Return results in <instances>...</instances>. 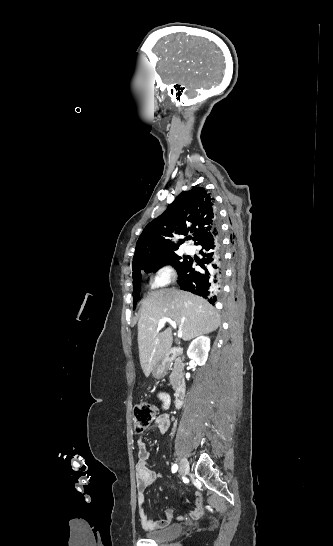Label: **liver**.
Here are the masks:
<instances>
[{
  "instance_id": "6515ba94",
  "label": "liver",
  "mask_w": 333,
  "mask_h": 546,
  "mask_svg": "<svg viewBox=\"0 0 333 546\" xmlns=\"http://www.w3.org/2000/svg\"><path fill=\"white\" fill-rule=\"evenodd\" d=\"M164 317L176 322L184 341L215 331L221 322L218 311L202 297L175 288L149 292L138 321L139 358L146 377L173 342L171 328L158 331V323Z\"/></svg>"
}]
</instances>
